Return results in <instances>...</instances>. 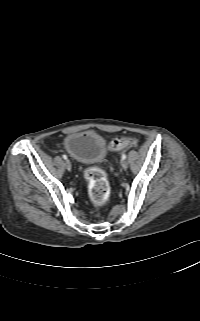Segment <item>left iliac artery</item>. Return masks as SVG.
I'll return each mask as SVG.
<instances>
[{
	"instance_id": "1",
	"label": "left iliac artery",
	"mask_w": 200,
	"mask_h": 321,
	"mask_svg": "<svg viewBox=\"0 0 200 321\" xmlns=\"http://www.w3.org/2000/svg\"><path fill=\"white\" fill-rule=\"evenodd\" d=\"M122 159H123V160L126 159V154H122Z\"/></svg>"
}]
</instances>
